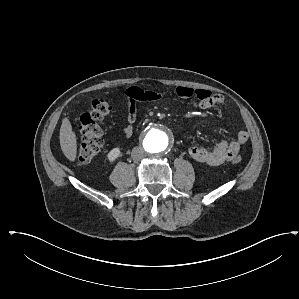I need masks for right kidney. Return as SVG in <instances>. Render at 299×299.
<instances>
[{
  "instance_id": "right-kidney-1",
  "label": "right kidney",
  "mask_w": 299,
  "mask_h": 299,
  "mask_svg": "<svg viewBox=\"0 0 299 299\" xmlns=\"http://www.w3.org/2000/svg\"><path fill=\"white\" fill-rule=\"evenodd\" d=\"M120 155H121L120 148L116 147L108 153L107 158L110 162H114Z\"/></svg>"
}]
</instances>
